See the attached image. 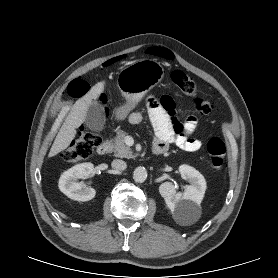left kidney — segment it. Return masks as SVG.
Returning <instances> with one entry per match:
<instances>
[{
  "label": "left kidney",
  "mask_w": 278,
  "mask_h": 278,
  "mask_svg": "<svg viewBox=\"0 0 278 278\" xmlns=\"http://www.w3.org/2000/svg\"><path fill=\"white\" fill-rule=\"evenodd\" d=\"M179 172L183 179L190 182L183 193L177 192L171 182H164L159 187V192L167 207L176 217L185 216L198 210L206 191L205 178L195 168L181 165Z\"/></svg>",
  "instance_id": "5707ae66"
}]
</instances>
